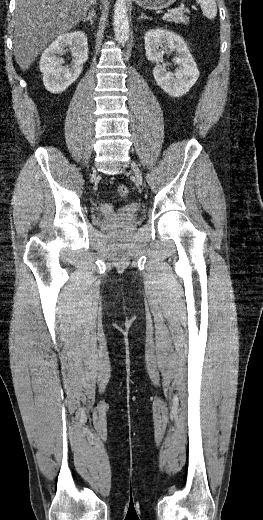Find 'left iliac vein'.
<instances>
[{
	"mask_svg": "<svg viewBox=\"0 0 263 520\" xmlns=\"http://www.w3.org/2000/svg\"><path fill=\"white\" fill-rule=\"evenodd\" d=\"M131 168H132V171H133L137 181L138 182H142V174H141V171L138 168V166L134 162H132L131 163Z\"/></svg>",
	"mask_w": 263,
	"mask_h": 520,
	"instance_id": "1",
	"label": "left iliac vein"
}]
</instances>
